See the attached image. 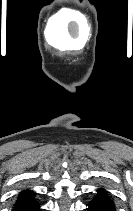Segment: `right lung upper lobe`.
<instances>
[{
  "instance_id": "obj_1",
  "label": "right lung upper lobe",
  "mask_w": 133,
  "mask_h": 211,
  "mask_svg": "<svg viewBox=\"0 0 133 211\" xmlns=\"http://www.w3.org/2000/svg\"><path fill=\"white\" fill-rule=\"evenodd\" d=\"M35 195L31 190H23L18 194L17 200L15 202V206L20 204L30 203L35 200Z\"/></svg>"
}]
</instances>
